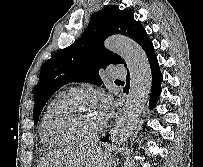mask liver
<instances>
[{"label":"liver","mask_w":203,"mask_h":167,"mask_svg":"<svg viewBox=\"0 0 203 167\" xmlns=\"http://www.w3.org/2000/svg\"><path fill=\"white\" fill-rule=\"evenodd\" d=\"M93 147L68 148L46 154L37 167H83Z\"/></svg>","instance_id":"obj_1"}]
</instances>
